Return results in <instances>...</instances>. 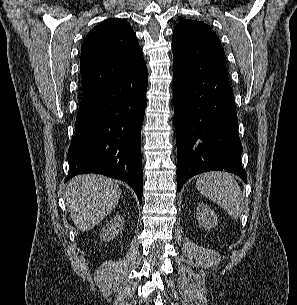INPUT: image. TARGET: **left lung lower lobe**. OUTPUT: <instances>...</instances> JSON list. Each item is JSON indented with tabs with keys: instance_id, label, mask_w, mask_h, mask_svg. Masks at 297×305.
<instances>
[{
	"instance_id": "0a47b994",
	"label": "left lung lower lobe",
	"mask_w": 297,
	"mask_h": 305,
	"mask_svg": "<svg viewBox=\"0 0 297 305\" xmlns=\"http://www.w3.org/2000/svg\"><path fill=\"white\" fill-rule=\"evenodd\" d=\"M173 81L178 191L190 177L211 170L234 173L246 183L227 73L191 74L174 63Z\"/></svg>"
}]
</instances>
